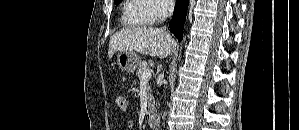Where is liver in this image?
<instances>
[{"mask_svg":"<svg viewBox=\"0 0 299 130\" xmlns=\"http://www.w3.org/2000/svg\"><path fill=\"white\" fill-rule=\"evenodd\" d=\"M176 47L175 40L161 28L128 27L113 34L109 42L108 57L116 51H136L149 56L166 58Z\"/></svg>","mask_w":299,"mask_h":130,"instance_id":"obj_1","label":"liver"}]
</instances>
